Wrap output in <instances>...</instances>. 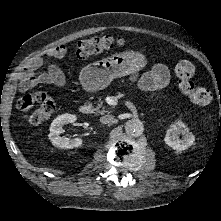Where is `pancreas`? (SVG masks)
Wrapping results in <instances>:
<instances>
[{
    "label": "pancreas",
    "instance_id": "pancreas-1",
    "mask_svg": "<svg viewBox=\"0 0 221 221\" xmlns=\"http://www.w3.org/2000/svg\"><path fill=\"white\" fill-rule=\"evenodd\" d=\"M137 79V75H133L130 77L131 82L136 81ZM92 113H94L95 115H102L105 114L107 112H109L108 110H105V107H103V102L101 101V98H99V103L96 107L92 108Z\"/></svg>",
    "mask_w": 221,
    "mask_h": 221
}]
</instances>
